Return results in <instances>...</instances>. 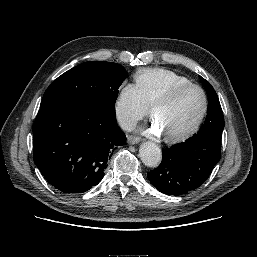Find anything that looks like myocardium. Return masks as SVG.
<instances>
[{"mask_svg":"<svg viewBox=\"0 0 257 257\" xmlns=\"http://www.w3.org/2000/svg\"><path fill=\"white\" fill-rule=\"evenodd\" d=\"M189 89H196L200 92V94L202 96V101H203L202 110H201L198 118L196 119V121L189 128H187L183 131L177 132V133L166 134L165 138L168 141L177 142V141L187 139L188 137L193 135L199 129V127L203 123V121L208 113V108H209L208 96H207L205 90L201 86L194 84V83H188V84L178 85V86L170 89L168 92H166L163 95H161L160 97H158L155 100V102L151 105V115H152V117H155V111L158 107L172 103L181 93H183L184 91L189 90Z\"/></svg>","mask_w":257,"mask_h":257,"instance_id":"1","label":"myocardium"}]
</instances>
